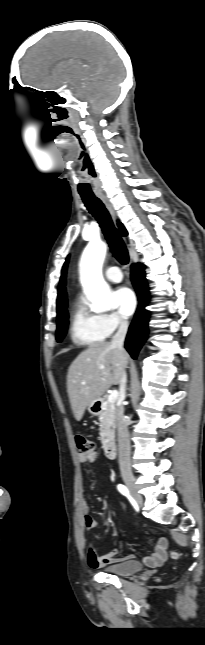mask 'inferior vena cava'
Here are the masks:
<instances>
[{"label":"inferior vena cava","mask_w":205,"mask_h":645,"mask_svg":"<svg viewBox=\"0 0 205 645\" xmlns=\"http://www.w3.org/2000/svg\"><path fill=\"white\" fill-rule=\"evenodd\" d=\"M128 329V321L121 319L119 328L113 336L111 345L123 351V343ZM127 375L123 371L120 381V401L125 398ZM116 426L118 432V449H119V466L121 471H131L130 462V440L127 428V422L124 417V407L122 403L116 408Z\"/></svg>","instance_id":"inferior-vena-cava-1"}]
</instances>
